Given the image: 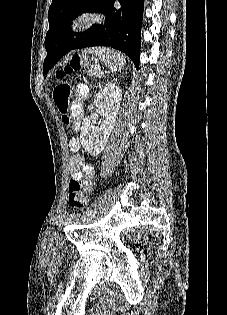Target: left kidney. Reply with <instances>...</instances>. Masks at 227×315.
I'll return each instance as SVG.
<instances>
[{
    "label": "left kidney",
    "instance_id": "5707ae66",
    "mask_svg": "<svg viewBox=\"0 0 227 315\" xmlns=\"http://www.w3.org/2000/svg\"><path fill=\"white\" fill-rule=\"evenodd\" d=\"M122 91L115 83H107L94 97V104L105 118L100 127H94L90 118L82 122L80 141L88 153L95 156L102 152L109 135L113 129L120 102ZM92 130V133H90Z\"/></svg>",
    "mask_w": 227,
    "mask_h": 315
}]
</instances>
